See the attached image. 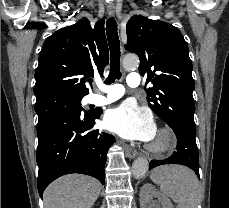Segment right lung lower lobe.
Segmentation results:
<instances>
[{"label": "right lung lower lobe", "instance_id": "right-lung-lower-lobe-1", "mask_svg": "<svg viewBox=\"0 0 229 208\" xmlns=\"http://www.w3.org/2000/svg\"><path fill=\"white\" fill-rule=\"evenodd\" d=\"M102 110L83 114L78 110L63 112L37 128V187L40 196L58 177L82 173L105 181L106 153L113 137L91 130Z\"/></svg>", "mask_w": 229, "mask_h": 208}]
</instances>
